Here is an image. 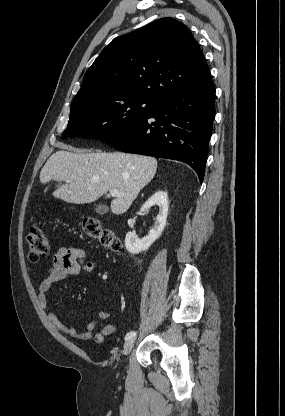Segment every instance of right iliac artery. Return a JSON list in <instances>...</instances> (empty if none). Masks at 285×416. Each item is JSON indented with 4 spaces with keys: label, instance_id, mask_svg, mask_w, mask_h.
I'll return each mask as SVG.
<instances>
[{
    "label": "right iliac artery",
    "instance_id": "82829eb1",
    "mask_svg": "<svg viewBox=\"0 0 285 416\" xmlns=\"http://www.w3.org/2000/svg\"><path fill=\"white\" fill-rule=\"evenodd\" d=\"M136 336V331H130V332H128L127 334H126V336H125V340L127 341V340H130V339H132L133 337H135Z\"/></svg>",
    "mask_w": 285,
    "mask_h": 416
}]
</instances>
